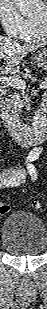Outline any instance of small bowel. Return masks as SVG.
<instances>
[{
  "label": "small bowel",
  "mask_w": 47,
  "mask_h": 309,
  "mask_svg": "<svg viewBox=\"0 0 47 309\" xmlns=\"http://www.w3.org/2000/svg\"><path fill=\"white\" fill-rule=\"evenodd\" d=\"M42 149L34 148L27 156L24 165L15 169H6L0 178V186L2 188H11L23 185L28 178L35 180L38 177V171L33 162L39 157Z\"/></svg>",
  "instance_id": "small-bowel-1"
}]
</instances>
